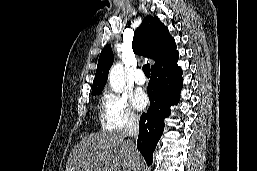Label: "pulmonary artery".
Listing matches in <instances>:
<instances>
[{
    "instance_id": "1",
    "label": "pulmonary artery",
    "mask_w": 257,
    "mask_h": 171,
    "mask_svg": "<svg viewBox=\"0 0 257 171\" xmlns=\"http://www.w3.org/2000/svg\"><path fill=\"white\" fill-rule=\"evenodd\" d=\"M134 82L138 85H144L146 82L145 75L142 70H137L134 74Z\"/></svg>"
}]
</instances>
